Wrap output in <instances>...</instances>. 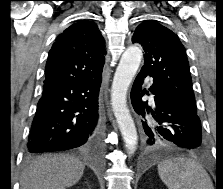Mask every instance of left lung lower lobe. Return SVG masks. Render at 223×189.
<instances>
[{
	"label": "left lung lower lobe",
	"mask_w": 223,
	"mask_h": 189,
	"mask_svg": "<svg viewBox=\"0 0 223 189\" xmlns=\"http://www.w3.org/2000/svg\"><path fill=\"white\" fill-rule=\"evenodd\" d=\"M148 75L151 76L147 70L141 69L131 90V102L135 112L143 118L150 114L154 119V122L141 120L146 144L154 145L162 141L183 150L201 149V121L197 113L172 101L161 83L153 78L149 89L154 94L153 107L142 101V96L148 93L145 89L142 90L144 78Z\"/></svg>",
	"instance_id": "1"
}]
</instances>
